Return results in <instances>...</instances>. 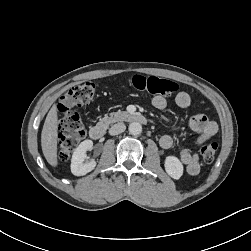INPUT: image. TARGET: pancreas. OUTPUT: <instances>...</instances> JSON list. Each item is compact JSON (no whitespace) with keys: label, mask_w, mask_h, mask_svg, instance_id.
<instances>
[{"label":"pancreas","mask_w":251,"mask_h":251,"mask_svg":"<svg viewBox=\"0 0 251 251\" xmlns=\"http://www.w3.org/2000/svg\"><path fill=\"white\" fill-rule=\"evenodd\" d=\"M128 117V113L125 111H117L112 112L109 115H105L102 119H100L99 124L108 127L109 125L118 122L123 121Z\"/></svg>","instance_id":"1"}]
</instances>
